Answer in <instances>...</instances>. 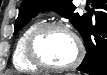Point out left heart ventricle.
Returning a JSON list of instances; mask_svg holds the SVG:
<instances>
[{"mask_svg": "<svg viewBox=\"0 0 107 75\" xmlns=\"http://www.w3.org/2000/svg\"><path fill=\"white\" fill-rule=\"evenodd\" d=\"M41 56L53 65L70 63L76 55V46L72 37L64 31L47 32L39 41Z\"/></svg>", "mask_w": 107, "mask_h": 75, "instance_id": "obj_1", "label": "left heart ventricle"}]
</instances>
